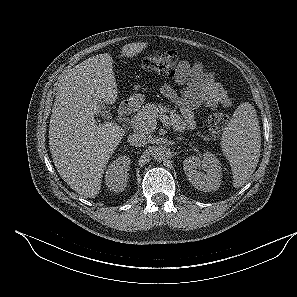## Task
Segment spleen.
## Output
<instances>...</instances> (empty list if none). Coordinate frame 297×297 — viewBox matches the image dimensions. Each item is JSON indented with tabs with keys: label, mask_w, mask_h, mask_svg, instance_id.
I'll list each match as a JSON object with an SVG mask.
<instances>
[{
	"label": "spleen",
	"mask_w": 297,
	"mask_h": 297,
	"mask_svg": "<svg viewBox=\"0 0 297 297\" xmlns=\"http://www.w3.org/2000/svg\"><path fill=\"white\" fill-rule=\"evenodd\" d=\"M221 148L232 167L233 186L242 187L256 169L261 148L259 121L250 103H242L234 111L222 135Z\"/></svg>",
	"instance_id": "obj_1"
}]
</instances>
